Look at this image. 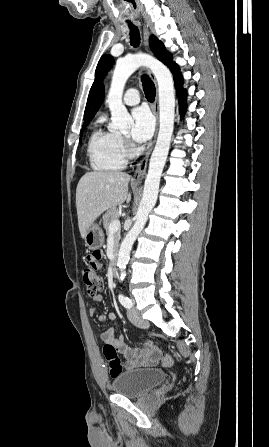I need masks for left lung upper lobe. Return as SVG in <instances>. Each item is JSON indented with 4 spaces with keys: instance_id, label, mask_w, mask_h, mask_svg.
Wrapping results in <instances>:
<instances>
[{
    "instance_id": "1",
    "label": "left lung upper lobe",
    "mask_w": 269,
    "mask_h": 447,
    "mask_svg": "<svg viewBox=\"0 0 269 447\" xmlns=\"http://www.w3.org/2000/svg\"><path fill=\"white\" fill-rule=\"evenodd\" d=\"M150 47H151L152 51L154 52L155 56L159 60H161L164 64H166L169 67L173 64L171 53H169L165 49L163 43L161 41H159L155 36L150 37ZM113 64H114V59L112 56L104 55L101 57L98 65H97V68H96L95 81H94V83L90 89V92H89V96H88V100H87V104H86V108H85V113H84V118H86V116L88 115V112L93 104L94 98L100 88V85H101V82H102L104 76L112 68Z\"/></svg>"
}]
</instances>
